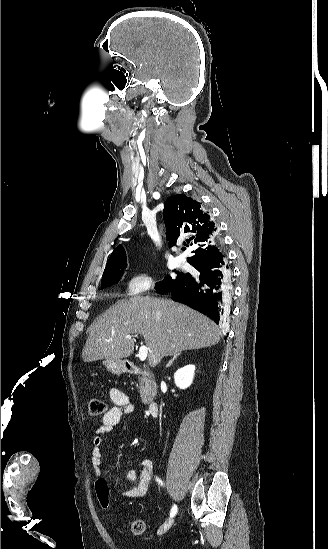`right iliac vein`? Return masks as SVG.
<instances>
[{"label":"right iliac vein","mask_w":328,"mask_h":549,"mask_svg":"<svg viewBox=\"0 0 328 549\" xmlns=\"http://www.w3.org/2000/svg\"><path fill=\"white\" fill-rule=\"evenodd\" d=\"M173 522H174V518H171V519L167 520V521L158 529L157 534H158V535H162V534H164L165 532H167V531L171 528Z\"/></svg>","instance_id":"1"}]
</instances>
